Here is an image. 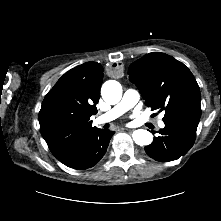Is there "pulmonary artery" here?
Masks as SVG:
<instances>
[{
    "mask_svg": "<svg viewBox=\"0 0 221 221\" xmlns=\"http://www.w3.org/2000/svg\"><path fill=\"white\" fill-rule=\"evenodd\" d=\"M140 95L136 90L128 89L124 92L123 97L121 101L111 108L109 111L105 112L104 114L100 115L96 118L95 122L98 125L108 123L110 121H113L114 119L121 116L126 111L133 108L139 101ZM159 126L161 128H164L165 124L164 122L160 121Z\"/></svg>",
    "mask_w": 221,
    "mask_h": 221,
    "instance_id": "1",
    "label": "pulmonary artery"
}]
</instances>
